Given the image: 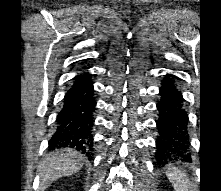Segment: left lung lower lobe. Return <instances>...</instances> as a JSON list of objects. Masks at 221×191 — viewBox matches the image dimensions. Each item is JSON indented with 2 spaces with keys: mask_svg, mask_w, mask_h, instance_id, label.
Segmentation results:
<instances>
[{
  "mask_svg": "<svg viewBox=\"0 0 221 191\" xmlns=\"http://www.w3.org/2000/svg\"><path fill=\"white\" fill-rule=\"evenodd\" d=\"M175 76L166 75L160 87L161 99L157 104L158 138L156 140V160L165 163L168 160L181 159L191 161L187 153L190 147L189 119L184 108V98L175 83Z\"/></svg>",
  "mask_w": 221,
  "mask_h": 191,
  "instance_id": "left-lung-lower-lobe-1",
  "label": "left lung lower lobe"
}]
</instances>
